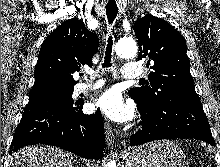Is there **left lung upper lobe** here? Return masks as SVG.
Instances as JSON below:
<instances>
[{"label": "left lung upper lobe", "instance_id": "1", "mask_svg": "<svg viewBox=\"0 0 220 167\" xmlns=\"http://www.w3.org/2000/svg\"><path fill=\"white\" fill-rule=\"evenodd\" d=\"M139 59L150 66L149 86L129 91L141 103L154 106L170 94L198 98L190 74V61L183 36L167 21L146 14L135 22Z\"/></svg>", "mask_w": 220, "mask_h": 167}]
</instances>
